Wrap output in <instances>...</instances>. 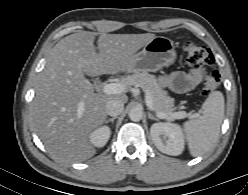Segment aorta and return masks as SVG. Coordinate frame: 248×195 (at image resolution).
I'll return each mask as SVG.
<instances>
[{
    "instance_id": "762f6f07",
    "label": "aorta",
    "mask_w": 248,
    "mask_h": 195,
    "mask_svg": "<svg viewBox=\"0 0 248 195\" xmlns=\"http://www.w3.org/2000/svg\"><path fill=\"white\" fill-rule=\"evenodd\" d=\"M128 116L132 121H135V122L140 121L142 119V116H143L142 109L138 108V107L132 108L129 111Z\"/></svg>"
}]
</instances>
